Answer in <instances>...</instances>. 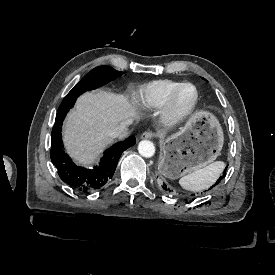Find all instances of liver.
Here are the masks:
<instances>
[{"mask_svg":"<svg viewBox=\"0 0 275 275\" xmlns=\"http://www.w3.org/2000/svg\"><path fill=\"white\" fill-rule=\"evenodd\" d=\"M134 112L123 96L88 93L77 103L66 121L65 144L81 163H90L110 141L107 131L131 124ZM125 134H120L124 137Z\"/></svg>","mask_w":275,"mask_h":275,"instance_id":"6515ba94","label":"liver"}]
</instances>
